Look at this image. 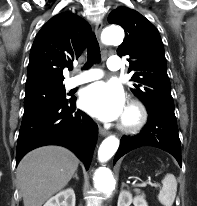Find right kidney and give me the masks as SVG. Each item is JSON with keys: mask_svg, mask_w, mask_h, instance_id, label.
<instances>
[{"mask_svg": "<svg viewBox=\"0 0 197 206\" xmlns=\"http://www.w3.org/2000/svg\"><path fill=\"white\" fill-rule=\"evenodd\" d=\"M74 190L68 188L51 197L44 206H75Z\"/></svg>", "mask_w": 197, "mask_h": 206, "instance_id": "obj_1", "label": "right kidney"}]
</instances>
